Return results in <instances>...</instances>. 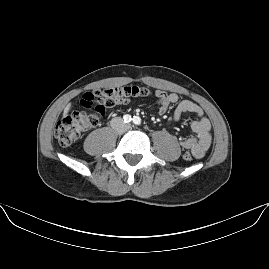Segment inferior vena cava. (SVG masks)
Here are the masks:
<instances>
[{"mask_svg":"<svg viewBox=\"0 0 269 269\" xmlns=\"http://www.w3.org/2000/svg\"><path fill=\"white\" fill-rule=\"evenodd\" d=\"M117 122V123H116ZM111 125H112V128L113 129H118L122 124H121V121L120 120H112L111 121ZM130 128V125L128 124H124V129L123 131H127L128 129Z\"/></svg>","mask_w":269,"mask_h":269,"instance_id":"1","label":"inferior vena cava"}]
</instances>
